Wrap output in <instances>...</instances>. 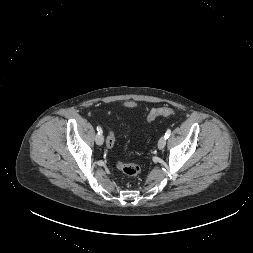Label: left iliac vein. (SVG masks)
<instances>
[{
	"label": "left iliac vein",
	"instance_id": "left-iliac-vein-1",
	"mask_svg": "<svg viewBox=\"0 0 253 253\" xmlns=\"http://www.w3.org/2000/svg\"><path fill=\"white\" fill-rule=\"evenodd\" d=\"M165 145H166V138L165 136H162L158 141V148L161 150L165 147Z\"/></svg>",
	"mask_w": 253,
	"mask_h": 253
}]
</instances>
